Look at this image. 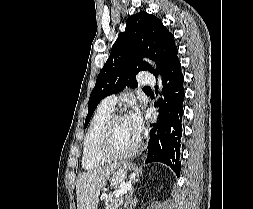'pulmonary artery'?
Segmentation results:
<instances>
[{
	"instance_id": "e3ab8cb5",
	"label": "pulmonary artery",
	"mask_w": 253,
	"mask_h": 209,
	"mask_svg": "<svg viewBox=\"0 0 253 209\" xmlns=\"http://www.w3.org/2000/svg\"><path fill=\"white\" fill-rule=\"evenodd\" d=\"M138 82L140 84H146L148 87H154L155 84H156V81H155L154 77L146 71H142V72L139 73ZM116 102H117V96L116 95L108 96L107 98H105L103 100V103L106 106H109L111 108H113L115 106Z\"/></svg>"
}]
</instances>
